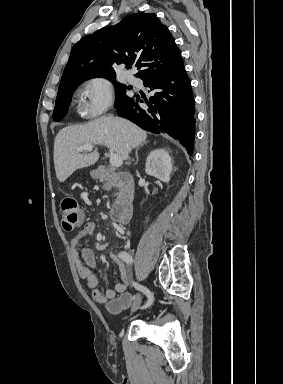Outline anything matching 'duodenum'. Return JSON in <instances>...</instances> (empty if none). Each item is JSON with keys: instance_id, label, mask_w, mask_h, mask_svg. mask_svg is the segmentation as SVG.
Returning <instances> with one entry per match:
<instances>
[{"instance_id": "1", "label": "duodenum", "mask_w": 283, "mask_h": 384, "mask_svg": "<svg viewBox=\"0 0 283 384\" xmlns=\"http://www.w3.org/2000/svg\"><path fill=\"white\" fill-rule=\"evenodd\" d=\"M98 178L105 182H115L121 188L119 199L112 211V220L120 225L130 222L133 214L135 190L132 177L127 172L112 173L107 166L97 168Z\"/></svg>"}]
</instances>
